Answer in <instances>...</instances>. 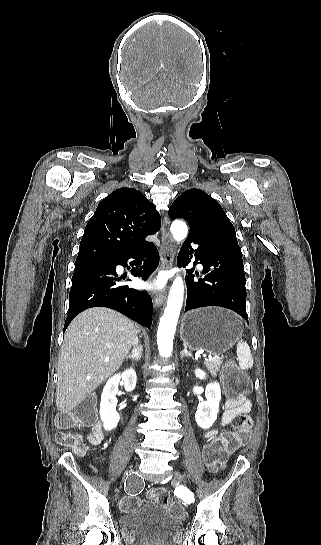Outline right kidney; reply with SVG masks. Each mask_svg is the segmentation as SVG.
Returning <instances> with one entry per match:
<instances>
[{"instance_id":"1","label":"right kidney","mask_w":321,"mask_h":545,"mask_svg":"<svg viewBox=\"0 0 321 545\" xmlns=\"http://www.w3.org/2000/svg\"><path fill=\"white\" fill-rule=\"evenodd\" d=\"M136 379L137 377L134 369H127V371L118 373V375H114V377H111V379L107 381L101 395L99 411L105 431H112L119 423L120 415L116 411V405L118 403L116 395L118 393L120 381L123 383L125 391L130 393V391H134L136 387Z\"/></svg>"}]
</instances>
